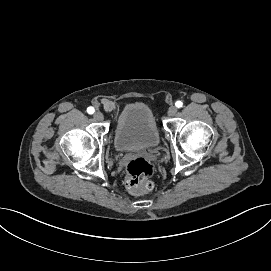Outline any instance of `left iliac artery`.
<instances>
[{"instance_id":"left-iliac-artery-1","label":"left iliac artery","mask_w":271,"mask_h":271,"mask_svg":"<svg viewBox=\"0 0 271 271\" xmlns=\"http://www.w3.org/2000/svg\"><path fill=\"white\" fill-rule=\"evenodd\" d=\"M175 105H176V107L180 108V107H182L183 103L181 101H177L175 103Z\"/></svg>"}]
</instances>
